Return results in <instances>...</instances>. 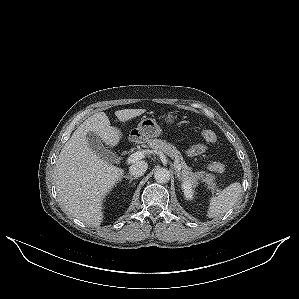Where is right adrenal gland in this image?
Returning a JSON list of instances; mask_svg holds the SVG:
<instances>
[{
    "mask_svg": "<svg viewBox=\"0 0 299 299\" xmlns=\"http://www.w3.org/2000/svg\"><path fill=\"white\" fill-rule=\"evenodd\" d=\"M123 177L129 179V183H131L133 180H135L137 178V177H132L131 175H126Z\"/></svg>",
    "mask_w": 299,
    "mask_h": 299,
    "instance_id": "2a0ac1e0",
    "label": "right adrenal gland"
}]
</instances>
